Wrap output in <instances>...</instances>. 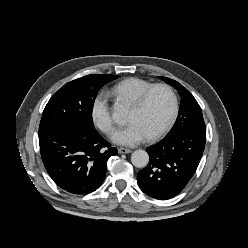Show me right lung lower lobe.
<instances>
[{"label": "right lung lower lobe", "instance_id": "98d812e1", "mask_svg": "<svg viewBox=\"0 0 248 248\" xmlns=\"http://www.w3.org/2000/svg\"><path fill=\"white\" fill-rule=\"evenodd\" d=\"M40 153L52 180L73 194H88L105 179L108 159L117 149L95 129L76 125L57 127L39 137Z\"/></svg>", "mask_w": 248, "mask_h": 248}]
</instances>
